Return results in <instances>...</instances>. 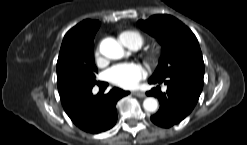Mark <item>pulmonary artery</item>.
Listing matches in <instances>:
<instances>
[{
	"label": "pulmonary artery",
	"instance_id": "e3ab8cb5",
	"mask_svg": "<svg viewBox=\"0 0 247 145\" xmlns=\"http://www.w3.org/2000/svg\"><path fill=\"white\" fill-rule=\"evenodd\" d=\"M123 44L129 47L130 49L137 50L141 44L136 38L129 37V38H124L123 39Z\"/></svg>",
	"mask_w": 247,
	"mask_h": 145
}]
</instances>
